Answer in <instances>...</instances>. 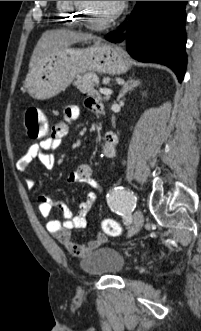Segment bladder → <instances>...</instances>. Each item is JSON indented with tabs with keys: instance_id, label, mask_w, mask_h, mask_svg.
<instances>
[{
	"instance_id": "1",
	"label": "bladder",
	"mask_w": 201,
	"mask_h": 331,
	"mask_svg": "<svg viewBox=\"0 0 201 331\" xmlns=\"http://www.w3.org/2000/svg\"><path fill=\"white\" fill-rule=\"evenodd\" d=\"M82 270L91 276H114L126 268L125 257L111 246L95 248L80 262Z\"/></svg>"
}]
</instances>
